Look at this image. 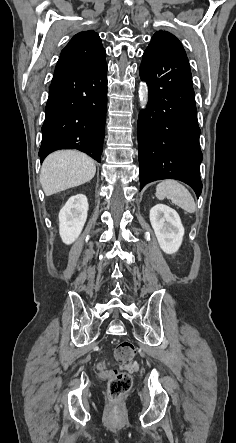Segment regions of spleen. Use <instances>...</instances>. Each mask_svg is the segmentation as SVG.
<instances>
[{
	"instance_id": "1",
	"label": "spleen",
	"mask_w": 236,
	"mask_h": 443,
	"mask_svg": "<svg viewBox=\"0 0 236 443\" xmlns=\"http://www.w3.org/2000/svg\"><path fill=\"white\" fill-rule=\"evenodd\" d=\"M156 197L159 200L164 198L170 199L173 204L179 206L188 213L196 211L194 199L185 186L176 180H165L160 182L156 187Z\"/></svg>"
}]
</instances>
